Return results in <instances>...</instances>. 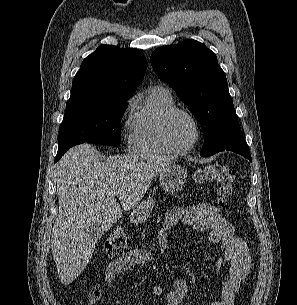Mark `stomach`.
<instances>
[{"instance_id":"0dacf381","label":"stomach","mask_w":297,"mask_h":305,"mask_svg":"<svg viewBox=\"0 0 297 305\" xmlns=\"http://www.w3.org/2000/svg\"><path fill=\"white\" fill-rule=\"evenodd\" d=\"M187 178V171L178 164H170L168 167L159 172V182L162 188L167 192L180 191ZM155 202L149 197L137 205L131 215L130 220L133 223H142L150 215L154 208Z\"/></svg>"}]
</instances>
